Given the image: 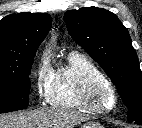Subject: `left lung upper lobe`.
<instances>
[{
  "label": "left lung upper lobe",
  "mask_w": 142,
  "mask_h": 128,
  "mask_svg": "<svg viewBox=\"0 0 142 128\" xmlns=\"http://www.w3.org/2000/svg\"><path fill=\"white\" fill-rule=\"evenodd\" d=\"M71 37L105 70L128 107V121L142 125V71L127 29L103 8L69 10Z\"/></svg>",
  "instance_id": "5c2ea615"
}]
</instances>
